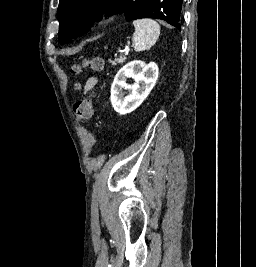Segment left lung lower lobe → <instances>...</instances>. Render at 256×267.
<instances>
[{
    "label": "left lung lower lobe",
    "mask_w": 256,
    "mask_h": 267,
    "mask_svg": "<svg viewBox=\"0 0 256 267\" xmlns=\"http://www.w3.org/2000/svg\"><path fill=\"white\" fill-rule=\"evenodd\" d=\"M182 2L183 0H175V6H176L175 27L178 28L179 30H181L182 26V17H181Z\"/></svg>",
    "instance_id": "left-lung-lower-lobe-1"
}]
</instances>
